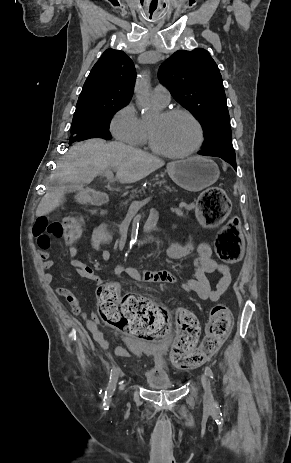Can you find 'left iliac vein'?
<instances>
[{
    "mask_svg": "<svg viewBox=\"0 0 291 463\" xmlns=\"http://www.w3.org/2000/svg\"><path fill=\"white\" fill-rule=\"evenodd\" d=\"M201 383L204 388V403L207 406H211V404L213 403V395L211 391L210 379L206 372H203L201 375Z\"/></svg>",
    "mask_w": 291,
    "mask_h": 463,
    "instance_id": "1",
    "label": "left iliac vein"
}]
</instances>
